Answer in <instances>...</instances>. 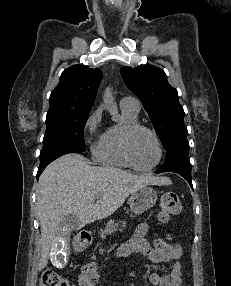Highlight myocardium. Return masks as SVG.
I'll use <instances>...</instances> for the list:
<instances>
[{
    "mask_svg": "<svg viewBox=\"0 0 231 286\" xmlns=\"http://www.w3.org/2000/svg\"><path fill=\"white\" fill-rule=\"evenodd\" d=\"M139 131H147L148 133H150L152 137L154 138L157 148H158V158L156 162L150 167L143 168V167L138 166L132 156L131 142H132L134 135ZM122 151H123V154L127 162L134 170L139 171V172H150L154 170L161 163L162 158H163L164 149H163V144L157 132L154 129L146 125L136 123V124L129 125L124 129L123 135H122Z\"/></svg>",
    "mask_w": 231,
    "mask_h": 286,
    "instance_id": "myocardium-1",
    "label": "myocardium"
}]
</instances>
